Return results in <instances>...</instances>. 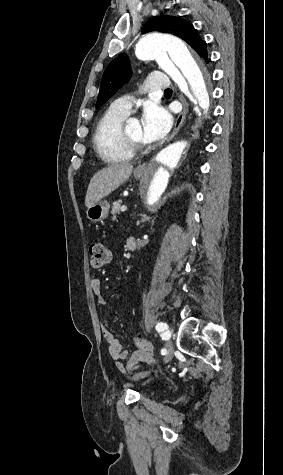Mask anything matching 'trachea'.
<instances>
[{"label": "trachea", "mask_w": 283, "mask_h": 475, "mask_svg": "<svg viewBox=\"0 0 283 475\" xmlns=\"http://www.w3.org/2000/svg\"><path fill=\"white\" fill-rule=\"evenodd\" d=\"M164 94H172V90H170V88H167V90L164 91Z\"/></svg>", "instance_id": "trachea-1"}]
</instances>
